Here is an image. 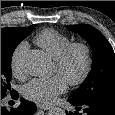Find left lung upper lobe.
I'll use <instances>...</instances> for the list:
<instances>
[{"instance_id": "1", "label": "left lung upper lobe", "mask_w": 115, "mask_h": 115, "mask_svg": "<svg viewBox=\"0 0 115 115\" xmlns=\"http://www.w3.org/2000/svg\"><path fill=\"white\" fill-rule=\"evenodd\" d=\"M82 35L93 52L92 69L82 85L71 94L77 104L107 102L115 104V54L106 38L90 25H69Z\"/></svg>"}]
</instances>
